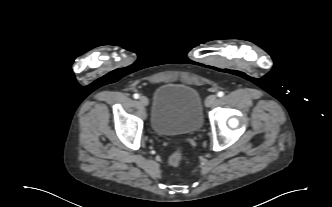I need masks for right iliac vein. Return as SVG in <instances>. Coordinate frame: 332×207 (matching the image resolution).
Masks as SVG:
<instances>
[{
	"mask_svg": "<svg viewBox=\"0 0 332 207\" xmlns=\"http://www.w3.org/2000/svg\"><path fill=\"white\" fill-rule=\"evenodd\" d=\"M139 102H140V104L143 105V106H147L148 103H149L147 97H145V96H141V97L139 98Z\"/></svg>",
	"mask_w": 332,
	"mask_h": 207,
	"instance_id": "obj_1",
	"label": "right iliac vein"
}]
</instances>
